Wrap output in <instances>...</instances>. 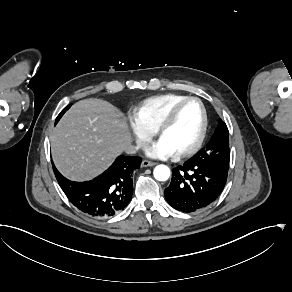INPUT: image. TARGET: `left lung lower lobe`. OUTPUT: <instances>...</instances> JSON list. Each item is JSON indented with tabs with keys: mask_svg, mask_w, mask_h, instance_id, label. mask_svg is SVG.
<instances>
[{
	"mask_svg": "<svg viewBox=\"0 0 292 292\" xmlns=\"http://www.w3.org/2000/svg\"><path fill=\"white\" fill-rule=\"evenodd\" d=\"M228 169L229 164L224 162H206L192 157L172 170L165 198L178 211H200L218 198L226 184Z\"/></svg>",
	"mask_w": 292,
	"mask_h": 292,
	"instance_id": "0a47b994",
	"label": "left lung lower lobe"
}]
</instances>
